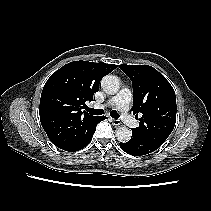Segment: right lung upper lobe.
Returning <instances> with one entry per match:
<instances>
[{
	"label": "right lung upper lobe",
	"instance_id": "obj_1",
	"mask_svg": "<svg viewBox=\"0 0 211 211\" xmlns=\"http://www.w3.org/2000/svg\"><path fill=\"white\" fill-rule=\"evenodd\" d=\"M117 65L87 61L70 62L47 80L41 93L40 121L50 141L63 147L96 117L82 111L93 100L101 79Z\"/></svg>",
	"mask_w": 211,
	"mask_h": 211
}]
</instances>
